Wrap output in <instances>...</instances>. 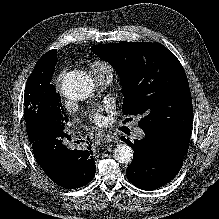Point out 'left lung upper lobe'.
I'll return each mask as SVG.
<instances>
[{"mask_svg": "<svg viewBox=\"0 0 219 219\" xmlns=\"http://www.w3.org/2000/svg\"><path fill=\"white\" fill-rule=\"evenodd\" d=\"M91 50L114 65L121 78L124 115H141L144 132L191 134L192 98L177 57L158 42L99 44Z\"/></svg>", "mask_w": 219, "mask_h": 219, "instance_id": "obj_1", "label": "left lung upper lobe"}]
</instances>
